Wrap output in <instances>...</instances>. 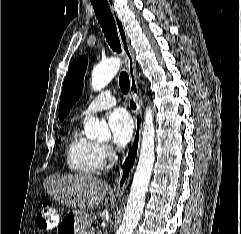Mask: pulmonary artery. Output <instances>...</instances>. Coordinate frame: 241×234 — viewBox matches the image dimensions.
<instances>
[{"label": "pulmonary artery", "mask_w": 241, "mask_h": 234, "mask_svg": "<svg viewBox=\"0 0 241 234\" xmlns=\"http://www.w3.org/2000/svg\"><path fill=\"white\" fill-rule=\"evenodd\" d=\"M116 104V99L111 91L105 90L99 93L81 113V117H87L91 114L99 112L104 109L113 107Z\"/></svg>", "instance_id": "e3ab8cb5"}]
</instances>
